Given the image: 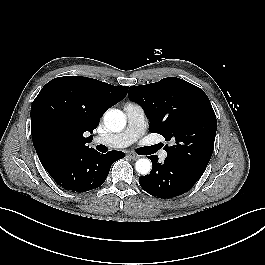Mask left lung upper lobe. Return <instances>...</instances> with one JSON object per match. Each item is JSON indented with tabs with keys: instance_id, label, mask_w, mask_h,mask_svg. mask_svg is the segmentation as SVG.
I'll list each match as a JSON object with an SVG mask.
<instances>
[{
	"instance_id": "obj_1",
	"label": "left lung upper lobe",
	"mask_w": 265,
	"mask_h": 265,
	"mask_svg": "<svg viewBox=\"0 0 265 265\" xmlns=\"http://www.w3.org/2000/svg\"><path fill=\"white\" fill-rule=\"evenodd\" d=\"M150 121L149 130L170 141L168 160L204 173L212 156L217 120L204 91L176 77L129 88Z\"/></svg>"
}]
</instances>
